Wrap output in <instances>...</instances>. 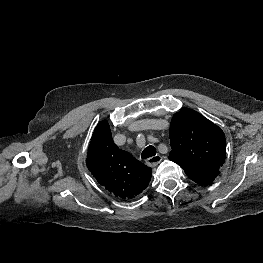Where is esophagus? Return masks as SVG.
<instances>
[{
  "instance_id": "esophagus-1",
  "label": "esophagus",
  "mask_w": 263,
  "mask_h": 263,
  "mask_svg": "<svg viewBox=\"0 0 263 263\" xmlns=\"http://www.w3.org/2000/svg\"><path fill=\"white\" fill-rule=\"evenodd\" d=\"M162 160V156L159 154H156L148 159H146V165L149 167H154L158 165Z\"/></svg>"
}]
</instances>
